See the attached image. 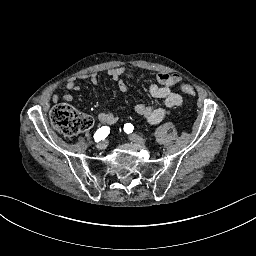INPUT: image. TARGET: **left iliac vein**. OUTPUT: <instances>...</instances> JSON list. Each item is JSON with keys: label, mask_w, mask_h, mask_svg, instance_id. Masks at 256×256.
Segmentation results:
<instances>
[{"label": "left iliac vein", "mask_w": 256, "mask_h": 256, "mask_svg": "<svg viewBox=\"0 0 256 256\" xmlns=\"http://www.w3.org/2000/svg\"><path fill=\"white\" fill-rule=\"evenodd\" d=\"M129 139L135 143L145 144V140L137 134H131Z\"/></svg>", "instance_id": "4c4485c4"}]
</instances>
